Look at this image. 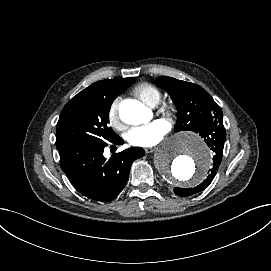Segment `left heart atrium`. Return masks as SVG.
<instances>
[{"label":"left heart atrium","instance_id":"39dd6f15","mask_svg":"<svg viewBox=\"0 0 271 271\" xmlns=\"http://www.w3.org/2000/svg\"><path fill=\"white\" fill-rule=\"evenodd\" d=\"M170 126L163 119H156L147 125L133 128L128 133V141L135 146L151 147L160 143L168 134Z\"/></svg>","mask_w":271,"mask_h":271}]
</instances>
